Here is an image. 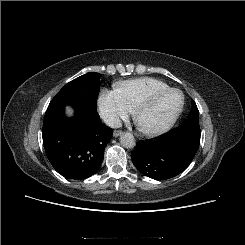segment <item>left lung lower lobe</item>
<instances>
[{
    "label": "left lung lower lobe",
    "mask_w": 245,
    "mask_h": 245,
    "mask_svg": "<svg viewBox=\"0 0 245 245\" xmlns=\"http://www.w3.org/2000/svg\"><path fill=\"white\" fill-rule=\"evenodd\" d=\"M199 143V134L174 128L153 140L139 141L131 153L132 162L145 176L169 179L189 166Z\"/></svg>",
    "instance_id": "0a47b994"
}]
</instances>
